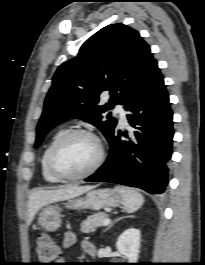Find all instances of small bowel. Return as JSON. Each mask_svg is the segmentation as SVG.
Masks as SVG:
<instances>
[{"instance_id":"c3829d8e","label":"small bowel","mask_w":205,"mask_h":265,"mask_svg":"<svg viewBox=\"0 0 205 265\" xmlns=\"http://www.w3.org/2000/svg\"><path fill=\"white\" fill-rule=\"evenodd\" d=\"M76 241V236L74 233L72 232H67L64 236V239H63V247L64 248H70L71 246L74 245ZM92 243L88 242V241H85L83 242V249L86 251V248Z\"/></svg>"}]
</instances>
